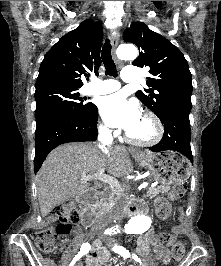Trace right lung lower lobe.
<instances>
[{"instance_id": "1", "label": "right lung lower lobe", "mask_w": 221, "mask_h": 266, "mask_svg": "<svg viewBox=\"0 0 221 266\" xmlns=\"http://www.w3.org/2000/svg\"><path fill=\"white\" fill-rule=\"evenodd\" d=\"M98 109L88 117L57 116L36 127L35 173L46 156L55 147L68 142H85L97 139Z\"/></svg>"}]
</instances>
